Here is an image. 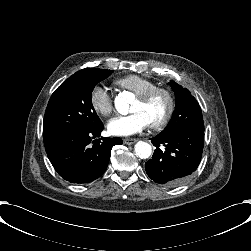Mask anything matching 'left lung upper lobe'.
Wrapping results in <instances>:
<instances>
[{
	"instance_id": "obj_1",
	"label": "left lung upper lobe",
	"mask_w": 251,
	"mask_h": 251,
	"mask_svg": "<svg viewBox=\"0 0 251 251\" xmlns=\"http://www.w3.org/2000/svg\"><path fill=\"white\" fill-rule=\"evenodd\" d=\"M175 92L176 107L168 126L158 134L161 137L186 130L199 129L204 131V123L200 106L190 91L174 81L169 83Z\"/></svg>"
}]
</instances>
